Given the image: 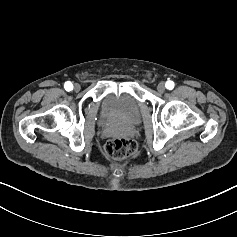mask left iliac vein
Wrapping results in <instances>:
<instances>
[{
    "label": "left iliac vein",
    "instance_id": "obj_1",
    "mask_svg": "<svg viewBox=\"0 0 237 237\" xmlns=\"http://www.w3.org/2000/svg\"><path fill=\"white\" fill-rule=\"evenodd\" d=\"M157 90L160 92V93H163L165 91V84L164 82H160L158 85H157Z\"/></svg>",
    "mask_w": 237,
    "mask_h": 237
}]
</instances>
